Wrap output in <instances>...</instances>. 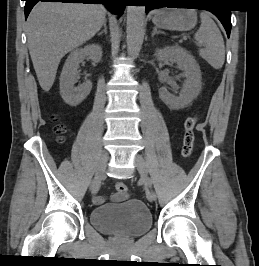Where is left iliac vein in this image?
I'll use <instances>...</instances> for the list:
<instances>
[{"instance_id": "obj_1", "label": "left iliac vein", "mask_w": 259, "mask_h": 266, "mask_svg": "<svg viewBox=\"0 0 259 266\" xmlns=\"http://www.w3.org/2000/svg\"><path fill=\"white\" fill-rule=\"evenodd\" d=\"M134 162H135V165L138 169V172L141 176V179L144 183V186L146 188V196H147V199L150 201V202H153L156 200V198H153L152 197V193H151V190L150 189H147V185H148V171H147V165H146V162L144 160V158L137 154L134 158Z\"/></svg>"}]
</instances>
